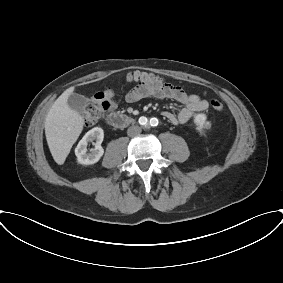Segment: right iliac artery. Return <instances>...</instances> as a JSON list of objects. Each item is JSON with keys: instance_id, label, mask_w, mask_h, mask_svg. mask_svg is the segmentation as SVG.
I'll return each instance as SVG.
<instances>
[{"instance_id": "1", "label": "right iliac artery", "mask_w": 283, "mask_h": 283, "mask_svg": "<svg viewBox=\"0 0 283 283\" xmlns=\"http://www.w3.org/2000/svg\"><path fill=\"white\" fill-rule=\"evenodd\" d=\"M141 123L146 124L147 123V118L146 117H141Z\"/></svg>"}]
</instances>
